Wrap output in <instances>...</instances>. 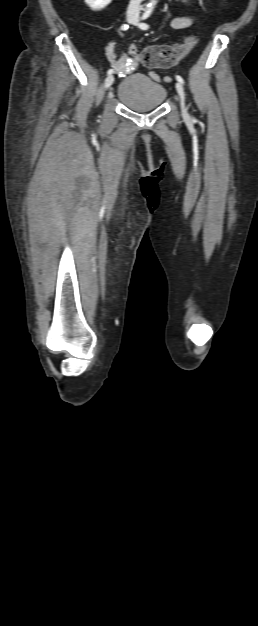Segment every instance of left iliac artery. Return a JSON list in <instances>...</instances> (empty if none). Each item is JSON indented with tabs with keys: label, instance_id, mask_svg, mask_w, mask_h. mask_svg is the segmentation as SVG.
Returning a JSON list of instances; mask_svg holds the SVG:
<instances>
[{
	"label": "left iliac artery",
	"instance_id": "44dca946",
	"mask_svg": "<svg viewBox=\"0 0 258 626\" xmlns=\"http://www.w3.org/2000/svg\"><path fill=\"white\" fill-rule=\"evenodd\" d=\"M150 14H151V12H150V11H147L146 13H144V15L142 16V20L147 19V18L150 16ZM139 27H140L142 30H147V29L149 28V25H148L147 23L142 22V23H140V24H139ZM176 79H177V81H179L181 84H184V80H183V78H182L181 76L176 75Z\"/></svg>",
	"mask_w": 258,
	"mask_h": 626
}]
</instances>
